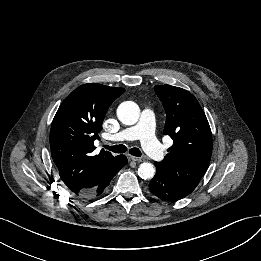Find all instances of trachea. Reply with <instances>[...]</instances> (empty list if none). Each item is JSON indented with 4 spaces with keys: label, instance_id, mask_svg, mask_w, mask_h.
Instances as JSON below:
<instances>
[{
    "label": "trachea",
    "instance_id": "obj_1",
    "mask_svg": "<svg viewBox=\"0 0 261 261\" xmlns=\"http://www.w3.org/2000/svg\"><path fill=\"white\" fill-rule=\"evenodd\" d=\"M106 149L114 152V153H125L128 149L125 145H115V146H105ZM129 153L133 156L140 157L141 151L134 147L129 150Z\"/></svg>",
    "mask_w": 261,
    "mask_h": 261
}]
</instances>
